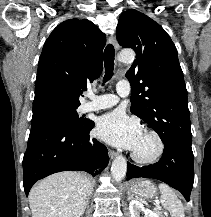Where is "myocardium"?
Returning a JSON list of instances; mask_svg holds the SVG:
<instances>
[{"label":"myocardium","mask_w":211,"mask_h":217,"mask_svg":"<svg viewBox=\"0 0 211 217\" xmlns=\"http://www.w3.org/2000/svg\"><path fill=\"white\" fill-rule=\"evenodd\" d=\"M144 134L151 136L156 142V150L150 156H140L136 152L131 153V157L134 161L140 164H152L157 162L163 155L165 150V144L160 134L152 129H146Z\"/></svg>","instance_id":"1"}]
</instances>
